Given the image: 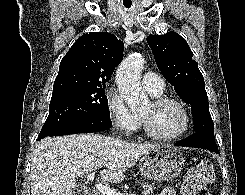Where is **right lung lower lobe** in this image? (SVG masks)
<instances>
[{
  "label": "right lung lower lobe",
  "instance_id": "obj_1",
  "mask_svg": "<svg viewBox=\"0 0 245 195\" xmlns=\"http://www.w3.org/2000/svg\"><path fill=\"white\" fill-rule=\"evenodd\" d=\"M111 126L112 122L110 118L104 116H96L64 127L60 130L53 132L49 136H62L77 133L99 132L108 129ZM41 139V137L38 138V140Z\"/></svg>",
  "mask_w": 245,
  "mask_h": 195
}]
</instances>
